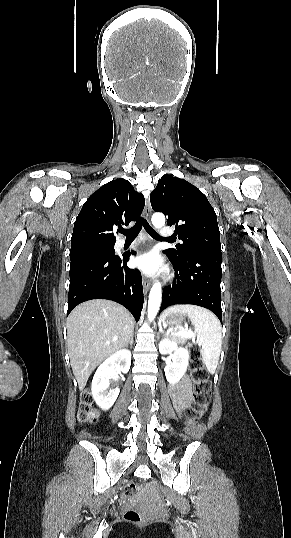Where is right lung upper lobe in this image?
Returning <instances> with one entry per match:
<instances>
[{
	"label": "right lung upper lobe",
	"instance_id": "right-lung-upper-lobe-1",
	"mask_svg": "<svg viewBox=\"0 0 291 538\" xmlns=\"http://www.w3.org/2000/svg\"><path fill=\"white\" fill-rule=\"evenodd\" d=\"M144 205L143 195L128 180L116 179L103 185L87 199L78 214L71 249L114 245L113 230L137 220Z\"/></svg>",
	"mask_w": 291,
	"mask_h": 538
}]
</instances>
